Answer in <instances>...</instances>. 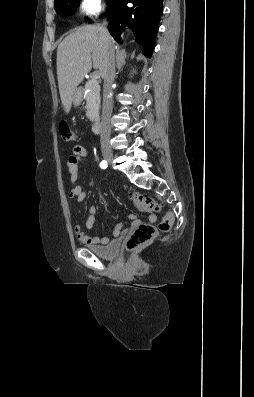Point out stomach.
<instances>
[{"mask_svg":"<svg viewBox=\"0 0 254 397\" xmlns=\"http://www.w3.org/2000/svg\"><path fill=\"white\" fill-rule=\"evenodd\" d=\"M83 100V92L81 88H76L73 94V103L78 106Z\"/></svg>","mask_w":254,"mask_h":397,"instance_id":"stomach-1","label":"stomach"}]
</instances>
